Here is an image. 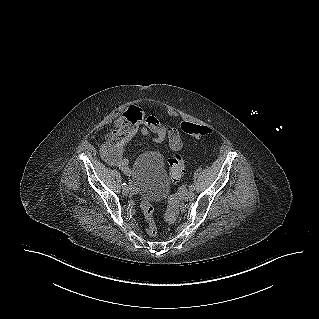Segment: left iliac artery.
<instances>
[{"label":"left iliac artery","instance_id":"obj_1","mask_svg":"<svg viewBox=\"0 0 319 319\" xmlns=\"http://www.w3.org/2000/svg\"><path fill=\"white\" fill-rule=\"evenodd\" d=\"M190 191H194L195 187L193 185L189 186Z\"/></svg>","mask_w":319,"mask_h":319}]
</instances>
